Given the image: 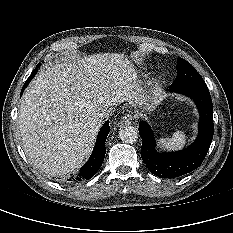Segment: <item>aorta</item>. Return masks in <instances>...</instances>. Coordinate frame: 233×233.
<instances>
[{
  "label": "aorta",
  "instance_id": "aorta-1",
  "mask_svg": "<svg viewBox=\"0 0 233 233\" xmlns=\"http://www.w3.org/2000/svg\"><path fill=\"white\" fill-rule=\"evenodd\" d=\"M138 137V130L133 126H123L119 130V138L125 143L133 144Z\"/></svg>",
  "mask_w": 233,
  "mask_h": 233
}]
</instances>
